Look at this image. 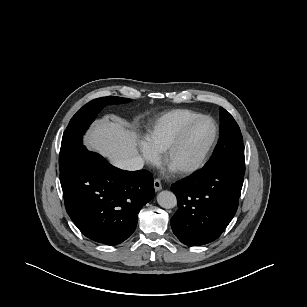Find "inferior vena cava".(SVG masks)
Returning <instances> with one entry per match:
<instances>
[{
    "label": "inferior vena cava",
    "instance_id": "1",
    "mask_svg": "<svg viewBox=\"0 0 307 307\" xmlns=\"http://www.w3.org/2000/svg\"><path fill=\"white\" fill-rule=\"evenodd\" d=\"M115 166L128 171L140 170L144 166V160L140 156H132L130 158L121 159L115 163Z\"/></svg>",
    "mask_w": 307,
    "mask_h": 307
}]
</instances>
